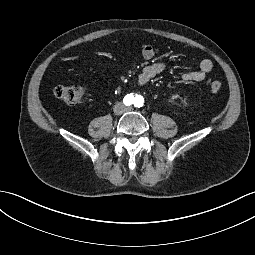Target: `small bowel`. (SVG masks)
<instances>
[{
	"label": "small bowel",
	"mask_w": 255,
	"mask_h": 255,
	"mask_svg": "<svg viewBox=\"0 0 255 255\" xmlns=\"http://www.w3.org/2000/svg\"><path fill=\"white\" fill-rule=\"evenodd\" d=\"M155 48L147 44L142 49V56L145 60H151L155 57ZM213 63L209 59H202L198 64V69L189 71L183 74L182 78L185 81H202L205 79L206 75L212 70ZM167 69V63L165 62H155L150 65L143 67L141 72L138 74L136 83L138 86L142 87L148 84L153 78L161 74Z\"/></svg>",
	"instance_id": "1"
}]
</instances>
